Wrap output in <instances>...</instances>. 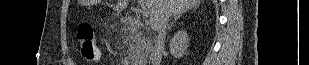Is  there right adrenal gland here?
Instances as JSON below:
<instances>
[{
  "label": "right adrenal gland",
  "instance_id": "obj_1",
  "mask_svg": "<svg viewBox=\"0 0 309 65\" xmlns=\"http://www.w3.org/2000/svg\"><path fill=\"white\" fill-rule=\"evenodd\" d=\"M182 14H179L178 16H176L174 18V20L170 23V25L168 26V30L170 31L174 25V23L181 17Z\"/></svg>",
  "mask_w": 309,
  "mask_h": 65
}]
</instances>
